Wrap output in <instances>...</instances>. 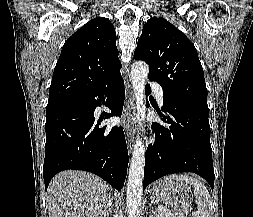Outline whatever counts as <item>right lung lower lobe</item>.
<instances>
[{
  "label": "right lung lower lobe",
  "instance_id": "obj_1",
  "mask_svg": "<svg viewBox=\"0 0 253 217\" xmlns=\"http://www.w3.org/2000/svg\"><path fill=\"white\" fill-rule=\"evenodd\" d=\"M124 98V81L117 73L86 94L47 105L43 166L46 189L55 174L67 169L92 172L117 190L123 187L129 161L123 129H109L100 121L120 117ZM101 104L107 105L111 113L96 121L94 110Z\"/></svg>",
  "mask_w": 253,
  "mask_h": 217
}]
</instances>
